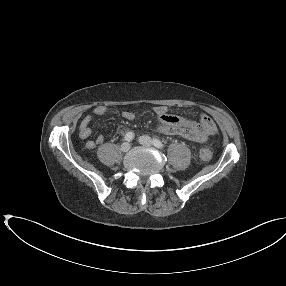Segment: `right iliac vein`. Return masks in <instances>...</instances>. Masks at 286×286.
<instances>
[{"label":"right iliac vein","instance_id":"63e3f726","mask_svg":"<svg viewBox=\"0 0 286 286\" xmlns=\"http://www.w3.org/2000/svg\"><path fill=\"white\" fill-rule=\"evenodd\" d=\"M130 147H131V145H130L129 142H124V143L121 145V150H122L123 152H127V151H129Z\"/></svg>","mask_w":286,"mask_h":286}]
</instances>
